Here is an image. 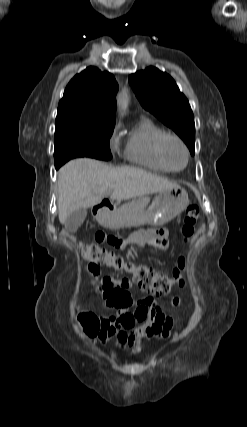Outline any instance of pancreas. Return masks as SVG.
<instances>
[{
    "instance_id": "1",
    "label": "pancreas",
    "mask_w": 247,
    "mask_h": 427,
    "mask_svg": "<svg viewBox=\"0 0 247 427\" xmlns=\"http://www.w3.org/2000/svg\"><path fill=\"white\" fill-rule=\"evenodd\" d=\"M149 203L148 197L135 198L132 201L121 205L118 208L119 214H132L143 211Z\"/></svg>"
}]
</instances>
